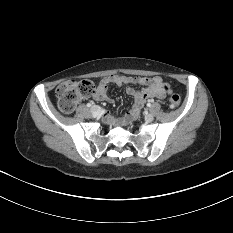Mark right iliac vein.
<instances>
[{
    "instance_id": "1",
    "label": "right iliac vein",
    "mask_w": 233,
    "mask_h": 233,
    "mask_svg": "<svg viewBox=\"0 0 233 233\" xmlns=\"http://www.w3.org/2000/svg\"><path fill=\"white\" fill-rule=\"evenodd\" d=\"M100 111H101V109L97 105H94V106L91 107V113L94 116H97L100 113Z\"/></svg>"
}]
</instances>
